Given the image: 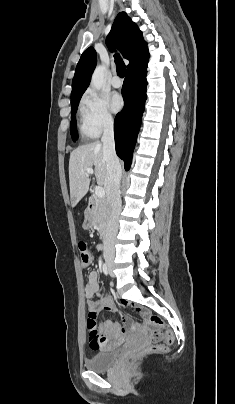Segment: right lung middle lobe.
<instances>
[{"instance_id":"right-lung-middle-lobe-1","label":"right lung middle lobe","mask_w":235,"mask_h":404,"mask_svg":"<svg viewBox=\"0 0 235 404\" xmlns=\"http://www.w3.org/2000/svg\"><path fill=\"white\" fill-rule=\"evenodd\" d=\"M78 104H79V100L78 101H74L71 102V124H70V131H71V136L73 139H77V132H76V118H75V113L77 111L78 108Z\"/></svg>"}]
</instances>
